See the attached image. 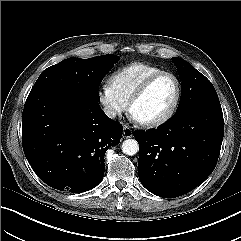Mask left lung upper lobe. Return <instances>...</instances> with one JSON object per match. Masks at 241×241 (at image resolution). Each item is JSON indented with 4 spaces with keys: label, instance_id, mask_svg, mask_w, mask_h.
I'll list each match as a JSON object with an SVG mask.
<instances>
[{
    "label": "left lung upper lobe",
    "instance_id": "5c2ea615",
    "mask_svg": "<svg viewBox=\"0 0 241 241\" xmlns=\"http://www.w3.org/2000/svg\"><path fill=\"white\" fill-rule=\"evenodd\" d=\"M172 61L182 80V92L177 111L198 105L220 106L215 88L203 74L183 59L172 58Z\"/></svg>",
    "mask_w": 241,
    "mask_h": 241
}]
</instances>
